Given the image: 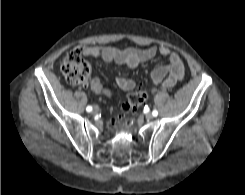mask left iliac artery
Segmentation results:
<instances>
[{
    "label": "left iliac artery",
    "mask_w": 245,
    "mask_h": 195,
    "mask_svg": "<svg viewBox=\"0 0 245 195\" xmlns=\"http://www.w3.org/2000/svg\"><path fill=\"white\" fill-rule=\"evenodd\" d=\"M152 115H153L154 117H156V116L158 115V111H157V110H153V111H152Z\"/></svg>",
    "instance_id": "obj_1"
}]
</instances>
